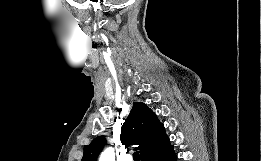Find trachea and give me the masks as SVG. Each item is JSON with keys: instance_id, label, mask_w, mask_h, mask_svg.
Masks as SVG:
<instances>
[{"instance_id": "obj_1", "label": "trachea", "mask_w": 261, "mask_h": 161, "mask_svg": "<svg viewBox=\"0 0 261 161\" xmlns=\"http://www.w3.org/2000/svg\"><path fill=\"white\" fill-rule=\"evenodd\" d=\"M133 159H134V161H140V156H139V152L138 151L133 153Z\"/></svg>"}]
</instances>
